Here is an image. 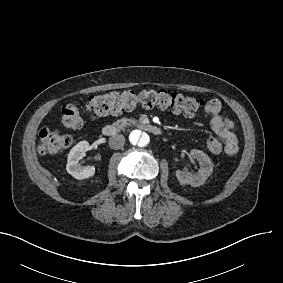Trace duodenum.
I'll return each mask as SVG.
<instances>
[{
    "label": "duodenum",
    "instance_id": "duodenum-1",
    "mask_svg": "<svg viewBox=\"0 0 283 283\" xmlns=\"http://www.w3.org/2000/svg\"><path fill=\"white\" fill-rule=\"evenodd\" d=\"M127 125H128L127 123H117V124L106 125L102 128V134L107 137L117 135L121 131H123ZM136 126L139 127L141 130L147 133H150V134L159 135L162 133V130L153 124L137 123Z\"/></svg>",
    "mask_w": 283,
    "mask_h": 283
}]
</instances>
